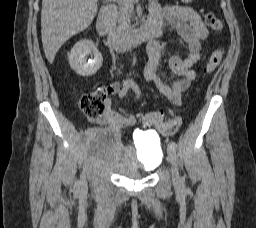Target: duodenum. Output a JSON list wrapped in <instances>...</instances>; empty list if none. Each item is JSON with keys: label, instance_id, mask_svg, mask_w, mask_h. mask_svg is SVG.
Listing matches in <instances>:
<instances>
[{"label": "duodenum", "instance_id": "obj_1", "mask_svg": "<svg viewBox=\"0 0 256 228\" xmlns=\"http://www.w3.org/2000/svg\"><path fill=\"white\" fill-rule=\"evenodd\" d=\"M97 32L115 50L123 51L145 42L150 37L157 35L156 29L148 22L139 28L125 33L114 35L109 29V9L105 6L97 20Z\"/></svg>", "mask_w": 256, "mask_h": 228}]
</instances>
